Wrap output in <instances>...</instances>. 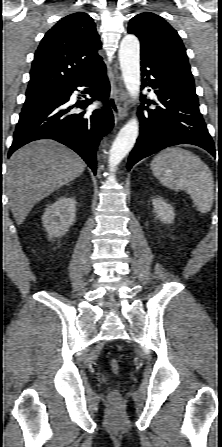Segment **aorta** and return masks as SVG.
Here are the masks:
<instances>
[{"label": "aorta", "instance_id": "aorta-1", "mask_svg": "<svg viewBox=\"0 0 222 447\" xmlns=\"http://www.w3.org/2000/svg\"><path fill=\"white\" fill-rule=\"evenodd\" d=\"M120 69L123 81L129 94L137 98L140 92V43L135 35H126L119 48ZM139 132V123L134 115L119 131L109 154L110 171H115L117 165L133 148Z\"/></svg>", "mask_w": 222, "mask_h": 447}]
</instances>
